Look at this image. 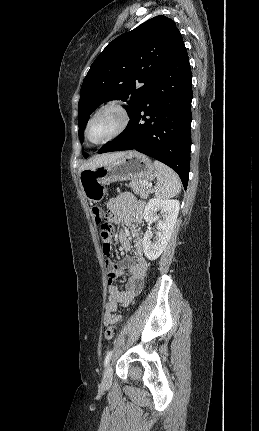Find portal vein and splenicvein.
I'll use <instances>...</instances> for the list:
<instances>
[{"label": "portal vein and splenic vein", "mask_w": 259, "mask_h": 431, "mask_svg": "<svg viewBox=\"0 0 259 431\" xmlns=\"http://www.w3.org/2000/svg\"><path fill=\"white\" fill-rule=\"evenodd\" d=\"M143 183H144V184H148V182H146V181H144Z\"/></svg>", "instance_id": "18ae733b"}]
</instances>
